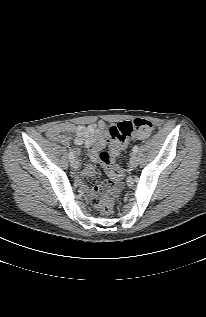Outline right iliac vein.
Here are the masks:
<instances>
[{
	"instance_id": "obj_1",
	"label": "right iliac vein",
	"mask_w": 206,
	"mask_h": 317,
	"mask_svg": "<svg viewBox=\"0 0 206 317\" xmlns=\"http://www.w3.org/2000/svg\"><path fill=\"white\" fill-rule=\"evenodd\" d=\"M71 166L74 168V169H77L79 167V163L76 161V160H73L71 161Z\"/></svg>"
}]
</instances>
